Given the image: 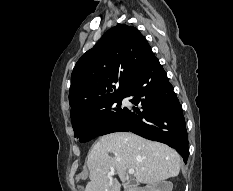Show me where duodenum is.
I'll use <instances>...</instances> for the list:
<instances>
[{
	"label": "duodenum",
	"mask_w": 233,
	"mask_h": 191,
	"mask_svg": "<svg viewBox=\"0 0 233 191\" xmlns=\"http://www.w3.org/2000/svg\"><path fill=\"white\" fill-rule=\"evenodd\" d=\"M130 191H141V189H139V188H132V189H130Z\"/></svg>",
	"instance_id": "1"
}]
</instances>
